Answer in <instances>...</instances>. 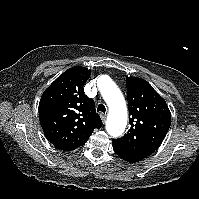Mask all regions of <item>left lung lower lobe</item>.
I'll return each instance as SVG.
<instances>
[{
	"instance_id": "1",
	"label": "left lung lower lobe",
	"mask_w": 199,
	"mask_h": 199,
	"mask_svg": "<svg viewBox=\"0 0 199 199\" xmlns=\"http://www.w3.org/2000/svg\"><path fill=\"white\" fill-rule=\"evenodd\" d=\"M113 150L120 158L127 162H138L145 158L115 141H113Z\"/></svg>"
}]
</instances>
